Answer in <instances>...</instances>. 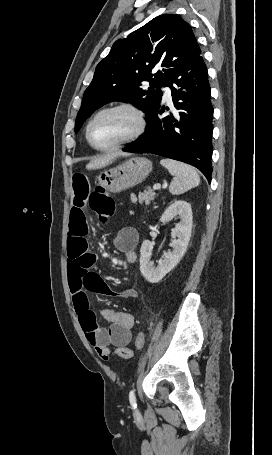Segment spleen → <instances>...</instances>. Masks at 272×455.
Segmentation results:
<instances>
[{
    "label": "spleen",
    "instance_id": "spleen-1",
    "mask_svg": "<svg viewBox=\"0 0 272 455\" xmlns=\"http://www.w3.org/2000/svg\"><path fill=\"white\" fill-rule=\"evenodd\" d=\"M160 163L173 175L169 186L172 195L183 194L200 184V177L193 167L171 159H162Z\"/></svg>",
    "mask_w": 272,
    "mask_h": 455
}]
</instances>
